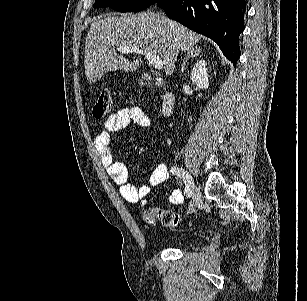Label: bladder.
<instances>
[{
    "label": "bladder",
    "mask_w": 307,
    "mask_h": 301,
    "mask_svg": "<svg viewBox=\"0 0 307 301\" xmlns=\"http://www.w3.org/2000/svg\"><path fill=\"white\" fill-rule=\"evenodd\" d=\"M191 241V238H180L176 241V244H179V245H186V244H189Z\"/></svg>",
    "instance_id": "bladder-1"
}]
</instances>
